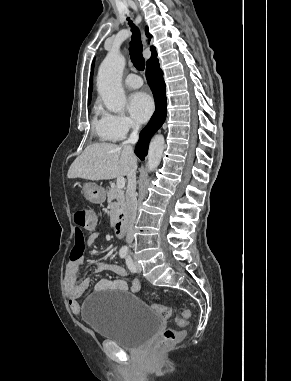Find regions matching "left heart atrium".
Segmentation results:
<instances>
[{
    "label": "left heart atrium",
    "instance_id": "1",
    "mask_svg": "<svg viewBox=\"0 0 291 381\" xmlns=\"http://www.w3.org/2000/svg\"><path fill=\"white\" fill-rule=\"evenodd\" d=\"M153 101L144 92H136L129 98V111L138 123L146 122L153 112Z\"/></svg>",
    "mask_w": 291,
    "mask_h": 381
}]
</instances>
